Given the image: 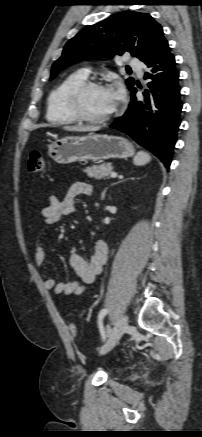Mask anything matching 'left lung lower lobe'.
<instances>
[{"label": "left lung lower lobe", "mask_w": 202, "mask_h": 437, "mask_svg": "<svg viewBox=\"0 0 202 437\" xmlns=\"http://www.w3.org/2000/svg\"><path fill=\"white\" fill-rule=\"evenodd\" d=\"M148 89L138 100L136 89L125 114L111 128L130 135L138 144L151 151L169 169L176 143L182 110L179 71L168 43L146 63Z\"/></svg>", "instance_id": "left-lung-lower-lobe-1"}]
</instances>
